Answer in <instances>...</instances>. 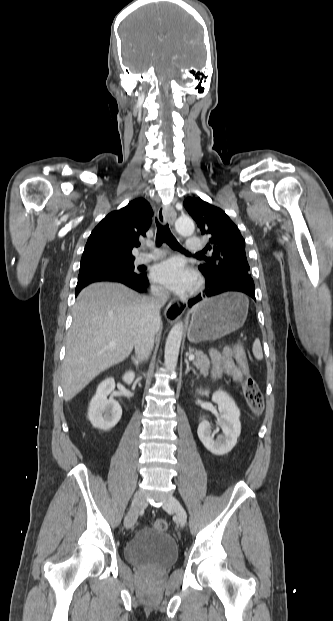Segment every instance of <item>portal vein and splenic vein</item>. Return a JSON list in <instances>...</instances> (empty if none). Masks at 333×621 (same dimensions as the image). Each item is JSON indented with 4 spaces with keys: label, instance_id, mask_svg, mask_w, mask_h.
I'll return each mask as SVG.
<instances>
[{
    "label": "portal vein and splenic vein",
    "instance_id": "portal-vein-and-splenic-vein-1",
    "mask_svg": "<svg viewBox=\"0 0 333 621\" xmlns=\"http://www.w3.org/2000/svg\"><path fill=\"white\" fill-rule=\"evenodd\" d=\"M188 359H189L190 361H193V360L195 359V356H194L193 354H190V355L188 356Z\"/></svg>",
    "mask_w": 333,
    "mask_h": 621
}]
</instances>
